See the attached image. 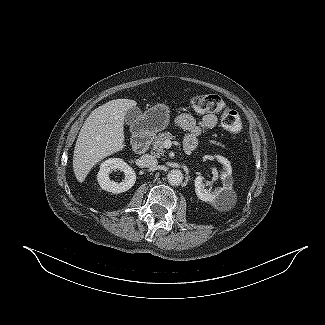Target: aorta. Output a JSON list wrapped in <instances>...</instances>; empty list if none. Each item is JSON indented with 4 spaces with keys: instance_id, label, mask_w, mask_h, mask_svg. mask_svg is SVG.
Returning a JSON list of instances; mask_svg holds the SVG:
<instances>
[{
    "instance_id": "1",
    "label": "aorta",
    "mask_w": 325,
    "mask_h": 325,
    "mask_svg": "<svg viewBox=\"0 0 325 325\" xmlns=\"http://www.w3.org/2000/svg\"><path fill=\"white\" fill-rule=\"evenodd\" d=\"M168 182L173 186H178L182 183L184 176L181 170L173 169L167 174Z\"/></svg>"
}]
</instances>
